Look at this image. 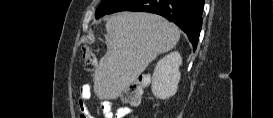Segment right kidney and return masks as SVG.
<instances>
[{"label":"right kidney","instance_id":"right-kidney-1","mask_svg":"<svg viewBox=\"0 0 273 118\" xmlns=\"http://www.w3.org/2000/svg\"><path fill=\"white\" fill-rule=\"evenodd\" d=\"M181 64L182 58L177 51L158 61L152 77V92L155 97L164 100L175 95L181 77Z\"/></svg>","mask_w":273,"mask_h":118}]
</instances>
